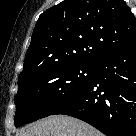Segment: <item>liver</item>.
Instances as JSON below:
<instances>
[{"mask_svg": "<svg viewBox=\"0 0 136 136\" xmlns=\"http://www.w3.org/2000/svg\"><path fill=\"white\" fill-rule=\"evenodd\" d=\"M18 136H101V134L83 121L55 115L26 126Z\"/></svg>", "mask_w": 136, "mask_h": 136, "instance_id": "6515ba94", "label": "liver"}]
</instances>
